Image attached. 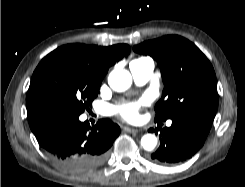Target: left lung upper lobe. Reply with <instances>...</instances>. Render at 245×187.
<instances>
[{
	"label": "left lung upper lobe",
	"instance_id": "5c2ea615",
	"mask_svg": "<svg viewBox=\"0 0 245 187\" xmlns=\"http://www.w3.org/2000/svg\"><path fill=\"white\" fill-rule=\"evenodd\" d=\"M152 56L161 70L164 90L156 104L155 122L193 115L215 116L216 75L207 57L189 40L168 35L134 46Z\"/></svg>",
	"mask_w": 245,
	"mask_h": 187
}]
</instances>
